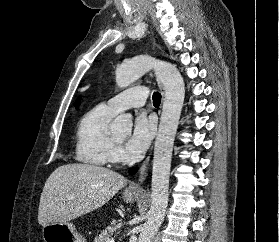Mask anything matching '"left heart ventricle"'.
Returning a JSON list of instances; mask_svg holds the SVG:
<instances>
[{"instance_id": "b2bd125f", "label": "left heart ventricle", "mask_w": 279, "mask_h": 242, "mask_svg": "<svg viewBox=\"0 0 279 242\" xmlns=\"http://www.w3.org/2000/svg\"><path fill=\"white\" fill-rule=\"evenodd\" d=\"M127 136H128V133H125L121 136L116 137L115 140L119 143H123L126 140Z\"/></svg>"}]
</instances>
